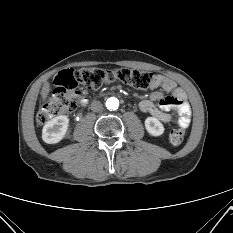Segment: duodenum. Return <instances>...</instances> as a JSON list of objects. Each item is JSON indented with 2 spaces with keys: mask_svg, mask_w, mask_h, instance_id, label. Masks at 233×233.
<instances>
[{
  "mask_svg": "<svg viewBox=\"0 0 233 233\" xmlns=\"http://www.w3.org/2000/svg\"><path fill=\"white\" fill-rule=\"evenodd\" d=\"M100 95H105V93H101Z\"/></svg>",
  "mask_w": 233,
  "mask_h": 233,
  "instance_id": "duodenum-1",
  "label": "duodenum"
}]
</instances>
